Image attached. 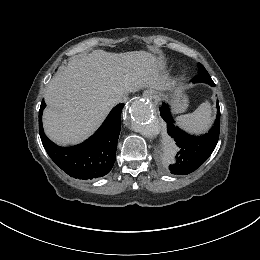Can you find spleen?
<instances>
[{"label": "spleen", "instance_id": "spleen-1", "mask_svg": "<svg viewBox=\"0 0 260 260\" xmlns=\"http://www.w3.org/2000/svg\"><path fill=\"white\" fill-rule=\"evenodd\" d=\"M176 121L190 133H204L213 122L211 105L205 101L194 112L176 117Z\"/></svg>", "mask_w": 260, "mask_h": 260}]
</instances>
